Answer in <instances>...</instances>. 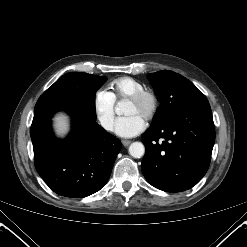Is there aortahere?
Wrapping results in <instances>:
<instances>
[{
  "mask_svg": "<svg viewBox=\"0 0 247 247\" xmlns=\"http://www.w3.org/2000/svg\"><path fill=\"white\" fill-rule=\"evenodd\" d=\"M120 106V103H118ZM120 108L117 107L116 111L119 112ZM129 153L134 158H141L145 154V147L141 142H133L129 146Z\"/></svg>",
  "mask_w": 247,
  "mask_h": 247,
  "instance_id": "aorta-1",
  "label": "aorta"
}]
</instances>
